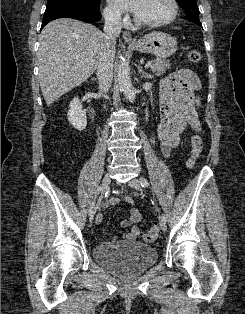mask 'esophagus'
I'll return each mask as SVG.
<instances>
[{
    "instance_id": "1",
    "label": "esophagus",
    "mask_w": 245,
    "mask_h": 314,
    "mask_svg": "<svg viewBox=\"0 0 245 314\" xmlns=\"http://www.w3.org/2000/svg\"><path fill=\"white\" fill-rule=\"evenodd\" d=\"M123 39L127 43H134V39L132 38V35L128 31H123L122 33Z\"/></svg>"
}]
</instances>
